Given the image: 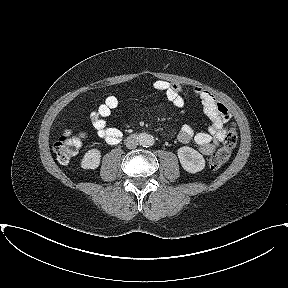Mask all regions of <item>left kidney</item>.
I'll use <instances>...</instances> for the list:
<instances>
[{
    "instance_id": "obj_1",
    "label": "left kidney",
    "mask_w": 288,
    "mask_h": 288,
    "mask_svg": "<svg viewBox=\"0 0 288 288\" xmlns=\"http://www.w3.org/2000/svg\"><path fill=\"white\" fill-rule=\"evenodd\" d=\"M178 158L184 170L195 174L205 168V160L203 156L195 149L183 146L178 149Z\"/></svg>"
}]
</instances>
